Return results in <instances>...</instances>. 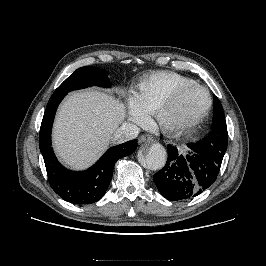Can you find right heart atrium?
<instances>
[{"mask_svg": "<svg viewBox=\"0 0 266 266\" xmlns=\"http://www.w3.org/2000/svg\"><path fill=\"white\" fill-rule=\"evenodd\" d=\"M128 117L130 121L141 126L146 125L148 122L147 115L134 102H131L129 105Z\"/></svg>", "mask_w": 266, "mask_h": 266, "instance_id": "1", "label": "right heart atrium"}]
</instances>
